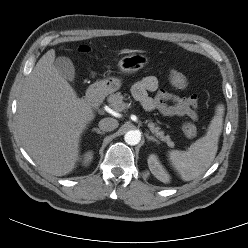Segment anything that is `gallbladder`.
<instances>
[{"label":"gallbladder","mask_w":248,"mask_h":248,"mask_svg":"<svg viewBox=\"0 0 248 248\" xmlns=\"http://www.w3.org/2000/svg\"><path fill=\"white\" fill-rule=\"evenodd\" d=\"M54 65L59 74L68 81H73L75 78V68L72 61L65 56L57 57Z\"/></svg>","instance_id":"bac80fb5"}]
</instances>
